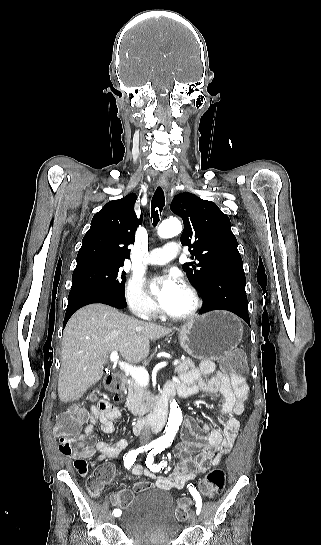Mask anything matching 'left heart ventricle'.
Instances as JSON below:
<instances>
[{"instance_id": "1", "label": "left heart ventricle", "mask_w": 321, "mask_h": 545, "mask_svg": "<svg viewBox=\"0 0 321 545\" xmlns=\"http://www.w3.org/2000/svg\"><path fill=\"white\" fill-rule=\"evenodd\" d=\"M193 305L192 296L181 287L166 312L171 314H185L193 308Z\"/></svg>"}]
</instances>
